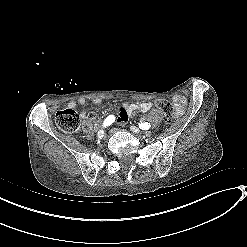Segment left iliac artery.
<instances>
[{"label": "left iliac artery", "mask_w": 247, "mask_h": 247, "mask_svg": "<svg viewBox=\"0 0 247 247\" xmlns=\"http://www.w3.org/2000/svg\"><path fill=\"white\" fill-rule=\"evenodd\" d=\"M138 126L142 130H148L151 127L150 123H148V122H141V123H139Z\"/></svg>", "instance_id": "obj_1"}]
</instances>
